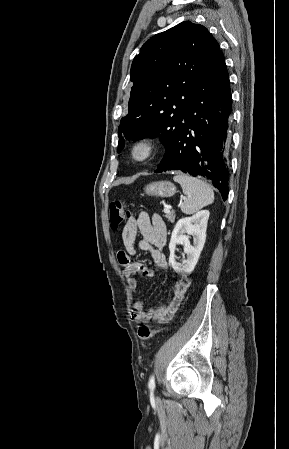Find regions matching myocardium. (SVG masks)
<instances>
[{
  "label": "myocardium",
  "mask_w": 289,
  "mask_h": 449,
  "mask_svg": "<svg viewBox=\"0 0 289 449\" xmlns=\"http://www.w3.org/2000/svg\"><path fill=\"white\" fill-rule=\"evenodd\" d=\"M142 152V154H140ZM157 152L155 141L150 137L137 139L131 147V157L135 162L146 163L154 158Z\"/></svg>",
  "instance_id": "myocardium-1"
}]
</instances>
